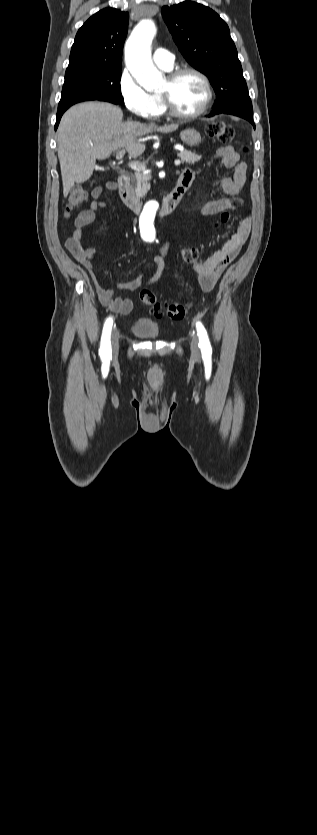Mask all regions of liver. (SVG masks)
<instances>
[{
	"instance_id": "liver-1",
	"label": "liver",
	"mask_w": 317,
	"mask_h": 835,
	"mask_svg": "<svg viewBox=\"0 0 317 835\" xmlns=\"http://www.w3.org/2000/svg\"><path fill=\"white\" fill-rule=\"evenodd\" d=\"M122 110L111 103L83 102L68 109L58 126L57 143L63 182L67 197L74 183L87 181L96 168V159L104 160L125 148L132 157L141 156L145 144L137 137L152 132L171 133L178 124L158 127L136 121L122 122Z\"/></svg>"
}]
</instances>
